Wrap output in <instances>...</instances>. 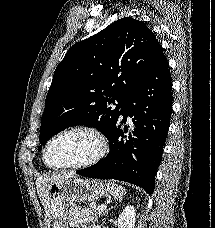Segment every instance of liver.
Listing matches in <instances>:
<instances>
[{
    "mask_svg": "<svg viewBox=\"0 0 215 228\" xmlns=\"http://www.w3.org/2000/svg\"><path fill=\"white\" fill-rule=\"evenodd\" d=\"M65 178H75L71 174H53V176H39L36 180L37 194L41 200V204L45 212V220L47 222L48 228H51V220L49 214V198L47 196L49 184H56L60 180H65Z\"/></svg>",
    "mask_w": 215,
    "mask_h": 228,
    "instance_id": "6515ba94",
    "label": "liver"
}]
</instances>
